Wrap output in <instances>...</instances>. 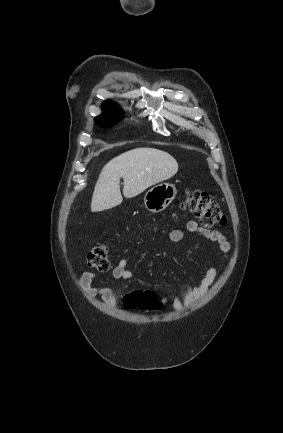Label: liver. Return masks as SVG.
I'll use <instances>...</instances> for the list:
<instances>
[{
  "label": "liver",
  "mask_w": 283,
  "mask_h": 433,
  "mask_svg": "<svg viewBox=\"0 0 283 433\" xmlns=\"http://www.w3.org/2000/svg\"><path fill=\"white\" fill-rule=\"evenodd\" d=\"M177 170V160L159 148H133L122 152L103 166L95 184L91 210H106L122 202L121 176L124 180L123 194L132 198L148 186L167 180Z\"/></svg>",
  "instance_id": "6515ba94"
}]
</instances>
